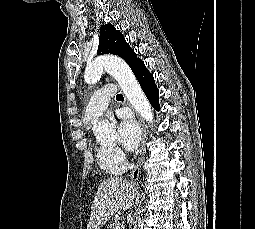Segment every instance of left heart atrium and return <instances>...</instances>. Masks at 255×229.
I'll list each match as a JSON object with an SVG mask.
<instances>
[{"label": "left heart atrium", "mask_w": 255, "mask_h": 229, "mask_svg": "<svg viewBox=\"0 0 255 229\" xmlns=\"http://www.w3.org/2000/svg\"><path fill=\"white\" fill-rule=\"evenodd\" d=\"M117 130L122 146L129 151L135 150L140 141V130L136 122L132 118L121 114Z\"/></svg>", "instance_id": "39dd6f15"}]
</instances>
